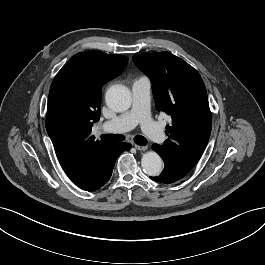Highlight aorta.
I'll return each mask as SVG.
<instances>
[{
  "instance_id": "762f6f07",
  "label": "aorta",
  "mask_w": 265,
  "mask_h": 265,
  "mask_svg": "<svg viewBox=\"0 0 265 265\" xmlns=\"http://www.w3.org/2000/svg\"><path fill=\"white\" fill-rule=\"evenodd\" d=\"M107 106L115 112H124L129 109L132 102L130 90L120 84L111 86L105 96ZM143 171L149 176H157L162 172L161 157L154 151L146 152L141 159Z\"/></svg>"
}]
</instances>
